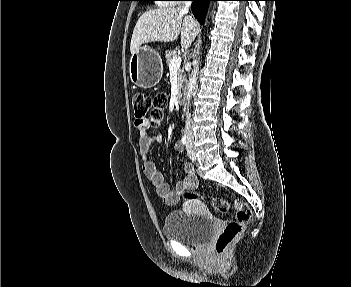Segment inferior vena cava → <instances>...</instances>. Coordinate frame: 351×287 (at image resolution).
Here are the masks:
<instances>
[{
    "label": "inferior vena cava",
    "instance_id": "obj_1",
    "mask_svg": "<svg viewBox=\"0 0 351 287\" xmlns=\"http://www.w3.org/2000/svg\"><path fill=\"white\" fill-rule=\"evenodd\" d=\"M190 5H191V1H187L185 3L184 10L187 11V9L190 7ZM186 115H187V120H186V125H185V134H186L187 138H193V134L191 131V126H190V115H189V113H186Z\"/></svg>",
    "mask_w": 351,
    "mask_h": 287
}]
</instances>
